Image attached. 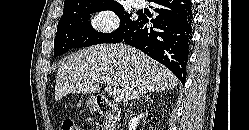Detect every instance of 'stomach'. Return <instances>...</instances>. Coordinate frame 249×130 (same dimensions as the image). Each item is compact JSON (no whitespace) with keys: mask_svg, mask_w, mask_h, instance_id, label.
Listing matches in <instances>:
<instances>
[{"mask_svg":"<svg viewBox=\"0 0 249 130\" xmlns=\"http://www.w3.org/2000/svg\"><path fill=\"white\" fill-rule=\"evenodd\" d=\"M86 105L90 110H96L98 107L97 102H96V97L92 96L88 98L86 101Z\"/></svg>","mask_w":249,"mask_h":130,"instance_id":"obj_1","label":"stomach"}]
</instances>
